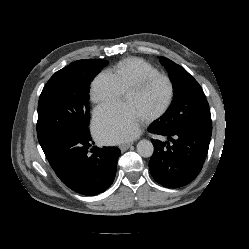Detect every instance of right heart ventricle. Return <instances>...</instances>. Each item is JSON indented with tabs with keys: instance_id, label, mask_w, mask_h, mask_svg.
Listing matches in <instances>:
<instances>
[{
	"instance_id": "e07e8e85",
	"label": "right heart ventricle",
	"mask_w": 249,
	"mask_h": 249,
	"mask_svg": "<svg viewBox=\"0 0 249 249\" xmlns=\"http://www.w3.org/2000/svg\"><path fill=\"white\" fill-rule=\"evenodd\" d=\"M114 77L122 92L128 87L149 75L160 74L159 70L149 62L136 57L126 58L112 69Z\"/></svg>"
}]
</instances>
